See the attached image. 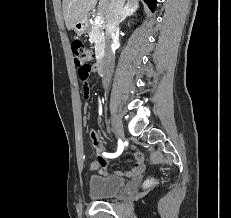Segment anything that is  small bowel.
<instances>
[{"instance_id": "1", "label": "small bowel", "mask_w": 231, "mask_h": 218, "mask_svg": "<svg viewBox=\"0 0 231 218\" xmlns=\"http://www.w3.org/2000/svg\"><path fill=\"white\" fill-rule=\"evenodd\" d=\"M94 68L97 66L95 63L92 65ZM90 65L87 66H80V69L77 70V73L79 75V79L81 82L82 90L84 94H87L88 92V78L89 75L92 73L93 67ZM90 138L92 141V145L96 151V159L93 160L90 164V167L92 170H106L108 167V161L104 154V145L103 142L98 135V133L95 130H92L90 132ZM134 164L131 168L127 170H118L116 171V174L118 176H127V177H134L140 175L144 170V158L137 154H133Z\"/></svg>"}]
</instances>
